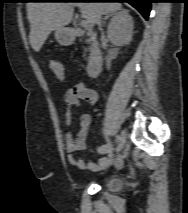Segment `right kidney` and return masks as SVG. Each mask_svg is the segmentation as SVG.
<instances>
[{
  "instance_id": "right-kidney-1",
  "label": "right kidney",
  "mask_w": 188,
  "mask_h": 213,
  "mask_svg": "<svg viewBox=\"0 0 188 213\" xmlns=\"http://www.w3.org/2000/svg\"><path fill=\"white\" fill-rule=\"evenodd\" d=\"M133 18L129 11L123 10L116 14L107 28L108 38L115 45H128L133 36Z\"/></svg>"
}]
</instances>
